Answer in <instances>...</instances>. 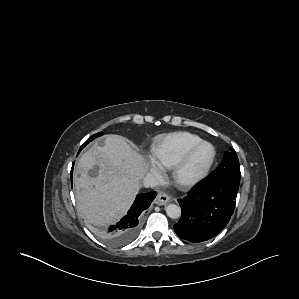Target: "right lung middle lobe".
<instances>
[{
  "instance_id": "dd1d6c3e",
  "label": "right lung middle lobe",
  "mask_w": 299,
  "mask_h": 299,
  "mask_svg": "<svg viewBox=\"0 0 299 299\" xmlns=\"http://www.w3.org/2000/svg\"><path fill=\"white\" fill-rule=\"evenodd\" d=\"M101 135H103V133H97V134H94L93 136H91L85 143H84V145H82V147H81V149L85 146V145H87L90 141H92V140H94L95 138H97V137H99V136H101ZM80 149V150H81Z\"/></svg>"
}]
</instances>
